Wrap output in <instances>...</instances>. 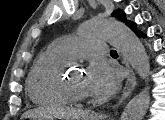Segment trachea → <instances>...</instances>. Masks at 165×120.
<instances>
[{"instance_id": "trachea-1", "label": "trachea", "mask_w": 165, "mask_h": 120, "mask_svg": "<svg viewBox=\"0 0 165 120\" xmlns=\"http://www.w3.org/2000/svg\"><path fill=\"white\" fill-rule=\"evenodd\" d=\"M110 54H111V55H117V51H116V50H111V51H110Z\"/></svg>"}]
</instances>
